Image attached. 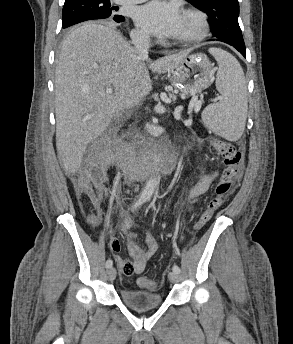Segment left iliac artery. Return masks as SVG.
Masks as SVG:
<instances>
[{"label":"left iliac artery","instance_id":"obj_1","mask_svg":"<svg viewBox=\"0 0 293 344\" xmlns=\"http://www.w3.org/2000/svg\"><path fill=\"white\" fill-rule=\"evenodd\" d=\"M172 270H173L174 272L178 273V274H179L180 271H181L180 268H179V266H178V265H175V264L173 265Z\"/></svg>","mask_w":293,"mask_h":344}]
</instances>
